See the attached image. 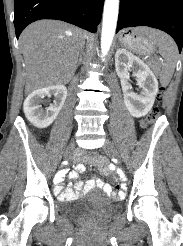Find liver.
Listing matches in <instances>:
<instances>
[{"label": "liver", "instance_id": "liver-1", "mask_svg": "<svg viewBox=\"0 0 183 246\" xmlns=\"http://www.w3.org/2000/svg\"><path fill=\"white\" fill-rule=\"evenodd\" d=\"M86 36L82 29L60 21L41 20L29 25L20 36L26 64L25 93L68 83Z\"/></svg>", "mask_w": 183, "mask_h": 246}]
</instances>
